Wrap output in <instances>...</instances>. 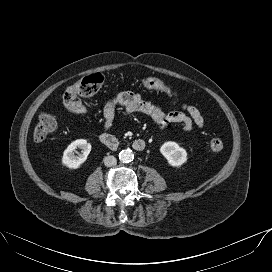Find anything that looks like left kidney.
<instances>
[{
	"label": "left kidney",
	"instance_id": "left-kidney-1",
	"mask_svg": "<svg viewBox=\"0 0 272 272\" xmlns=\"http://www.w3.org/2000/svg\"><path fill=\"white\" fill-rule=\"evenodd\" d=\"M161 154L166 158L169 165L179 167L187 161V152L176 142L167 141L160 147Z\"/></svg>",
	"mask_w": 272,
	"mask_h": 272
}]
</instances>
